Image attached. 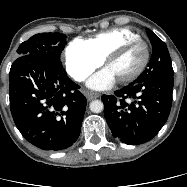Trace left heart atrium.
<instances>
[{
  "label": "left heart atrium",
  "mask_w": 187,
  "mask_h": 187,
  "mask_svg": "<svg viewBox=\"0 0 187 187\" xmlns=\"http://www.w3.org/2000/svg\"><path fill=\"white\" fill-rule=\"evenodd\" d=\"M116 80L115 75L106 67L94 74L87 84L92 89L102 90L111 87Z\"/></svg>",
  "instance_id": "left-heart-atrium-1"
}]
</instances>
